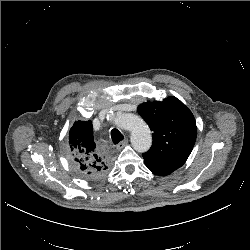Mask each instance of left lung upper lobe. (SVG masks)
I'll return each instance as SVG.
<instances>
[{"label": "left lung upper lobe", "instance_id": "left-lung-upper-lobe-1", "mask_svg": "<svg viewBox=\"0 0 250 250\" xmlns=\"http://www.w3.org/2000/svg\"><path fill=\"white\" fill-rule=\"evenodd\" d=\"M138 112L153 131V143L143 153L149 169L172 173L189 157L196 141L197 127L191 111L176 97L146 102Z\"/></svg>", "mask_w": 250, "mask_h": 250}]
</instances>
